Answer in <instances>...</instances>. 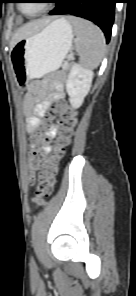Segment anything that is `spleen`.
Returning <instances> with one entry per match:
<instances>
[{
    "mask_svg": "<svg viewBox=\"0 0 136 296\" xmlns=\"http://www.w3.org/2000/svg\"><path fill=\"white\" fill-rule=\"evenodd\" d=\"M76 35V51L86 68L97 67L105 54V38L102 31L84 19L70 17Z\"/></svg>",
    "mask_w": 136,
    "mask_h": 296,
    "instance_id": "3e777b00",
    "label": "spleen"
}]
</instances>
